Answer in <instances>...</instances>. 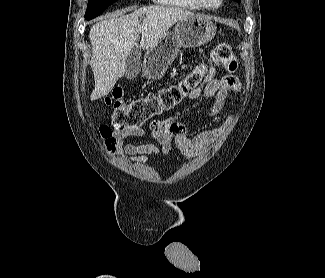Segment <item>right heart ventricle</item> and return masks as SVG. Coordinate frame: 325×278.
I'll use <instances>...</instances> for the list:
<instances>
[{"label": "right heart ventricle", "instance_id": "1", "mask_svg": "<svg viewBox=\"0 0 325 278\" xmlns=\"http://www.w3.org/2000/svg\"><path fill=\"white\" fill-rule=\"evenodd\" d=\"M154 1L161 5L185 9V10L203 9L195 0H154Z\"/></svg>", "mask_w": 325, "mask_h": 278}]
</instances>
